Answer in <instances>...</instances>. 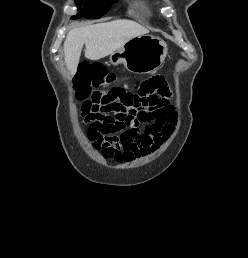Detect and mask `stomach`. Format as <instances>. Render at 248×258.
Instances as JSON below:
<instances>
[{"label": "stomach", "instance_id": "1", "mask_svg": "<svg viewBox=\"0 0 248 258\" xmlns=\"http://www.w3.org/2000/svg\"><path fill=\"white\" fill-rule=\"evenodd\" d=\"M167 45L159 37L142 35L126 42L110 55L113 65L123 64L131 73L146 74L156 71L167 55Z\"/></svg>", "mask_w": 248, "mask_h": 258}]
</instances>
